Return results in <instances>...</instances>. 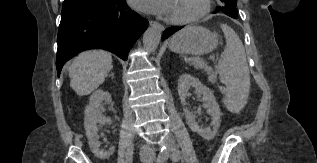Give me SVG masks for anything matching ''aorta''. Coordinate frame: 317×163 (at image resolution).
<instances>
[{
    "label": "aorta",
    "instance_id": "aorta-1",
    "mask_svg": "<svg viewBox=\"0 0 317 163\" xmlns=\"http://www.w3.org/2000/svg\"><path fill=\"white\" fill-rule=\"evenodd\" d=\"M161 40V30L157 25L149 27L143 35V45L148 52H154Z\"/></svg>",
    "mask_w": 317,
    "mask_h": 163
}]
</instances>
